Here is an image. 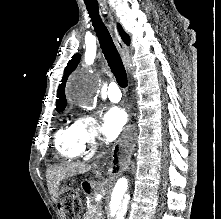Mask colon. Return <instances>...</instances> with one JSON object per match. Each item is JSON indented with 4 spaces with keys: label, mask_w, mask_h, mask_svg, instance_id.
<instances>
[{
    "label": "colon",
    "mask_w": 221,
    "mask_h": 219,
    "mask_svg": "<svg viewBox=\"0 0 221 219\" xmlns=\"http://www.w3.org/2000/svg\"><path fill=\"white\" fill-rule=\"evenodd\" d=\"M62 201L66 210L67 216L73 218L76 214V209L79 205V195L76 191L67 190L62 195Z\"/></svg>",
    "instance_id": "obj_1"
}]
</instances>
